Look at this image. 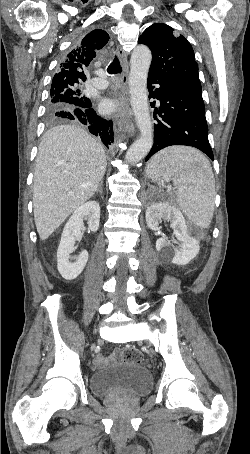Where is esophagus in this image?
<instances>
[{
  "instance_id": "34e87169",
  "label": "esophagus",
  "mask_w": 250,
  "mask_h": 454,
  "mask_svg": "<svg viewBox=\"0 0 250 454\" xmlns=\"http://www.w3.org/2000/svg\"><path fill=\"white\" fill-rule=\"evenodd\" d=\"M117 55L121 62L122 73L119 77L118 81V96L123 104L121 110L115 115L116 121L119 124H123V126L130 132L133 133L134 131V124L132 121V110L129 107V89H128V62H127V54L124 49L118 45L117 46Z\"/></svg>"
}]
</instances>
